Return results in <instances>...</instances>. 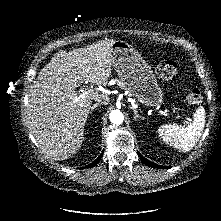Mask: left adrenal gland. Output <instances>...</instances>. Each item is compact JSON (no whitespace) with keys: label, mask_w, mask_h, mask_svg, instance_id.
I'll use <instances>...</instances> for the list:
<instances>
[{"label":"left adrenal gland","mask_w":221,"mask_h":221,"mask_svg":"<svg viewBox=\"0 0 221 221\" xmlns=\"http://www.w3.org/2000/svg\"><path fill=\"white\" fill-rule=\"evenodd\" d=\"M129 108L133 110V112H134V119H135V120L143 119L142 116H140V115L138 114V112H137V110H136L135 108H133L132 106H129Z\"/></svg>","instance_id":"left-adrenal-gland-1"}]
</instances>
